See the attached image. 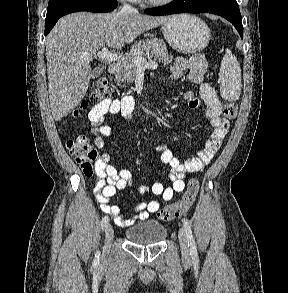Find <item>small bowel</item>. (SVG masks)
<instances>
[{"instance_id":"obj_1","label":"small bowel","mask_w":288,"mask_h":293,"mask_svg":"<svg viewBox=\"0 0 288 293\" xmlns=\"http://www.w3.org/2000/svg\"><path fill=\"white\" fill-rule=\"evenodd\" d=\"M187 71L190 82L199 87V97H195L192 92L187 91L184 94V98L192 109H197L202 104L205 105V114L214 130L198 155L187 159L184 163H181L165 144L156 146L161 162L171 168L168 173L171 186L164 187L163 184L156 182L151 186L150 190L154 195L161 196L164 201H170L174 193L181 192L184 189V179L187 174H198L203 171L221 147L230 130L229 122L221 115L222 105L216 91L204 80L206 72L204 57L197 54L190 60L182 57L175 58L174 63L171 65L172 75L179 79ZM135 107L134 98L130 95H125L120 99H105L90 110L88 118L92 124L91 134L95 136V143L98 148H103L106 138L111 136V128L106 124V116L119 113L128 118L133 115ZM95 173L97 177L94 187L96 199L101 210L111 215L116 225L129 227L137 221L148 219L150 214L159 210V200L145 201L134 207L135 214L124 218L121 215L119 206L112 205L110 199L117 191L126 189L131 185V172L126 169L117 170L112 163L111 156L108 153H102L96 160ZM138 190L140 193H144L146 187L139 186Z\"/></svg>"}]
</instances>
